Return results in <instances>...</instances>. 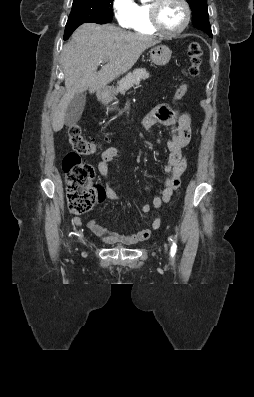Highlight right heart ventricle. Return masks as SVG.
Returning <instances> with one entry per match:
<instances>
[{"label": "right heart ventricle", "mask_w": 254, "mask_h": 397, "mask_svg": "<svg viewBox=\"0 0 254 397\" xmlns=\"http://www.w3.org/2000/svg\"><path fill=\"white\" fill-rule=\"evenodd\" d=\"M149 6L150 3H134V14L130 28L135 33L150 36L157 34L150 23Z\"/></svg>", "instance_id": "right-heart-ventricle-1"}]
</instances>
